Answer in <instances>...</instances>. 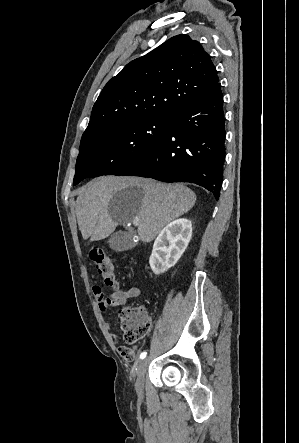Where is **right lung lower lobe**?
Returning a JSON list of instances; mask_svg holds the SVG:
<instances>
[{"mask_svg": "<svg viewBox=\"0 0 299 443\" xmlns=\"http://www.w3.org/2000/svg\"><path fill=\"white\" fill-rule=\"evenodd\" d=\"M167 137L148 154L114 175L191 182L219 199L225 158L221 84L168 116Z\"/></svg>", "mask_w": 299, "mask_h": 443, "instance_id": "1", "label": "right lung lower lobe"}]
</instances>
